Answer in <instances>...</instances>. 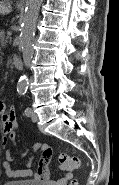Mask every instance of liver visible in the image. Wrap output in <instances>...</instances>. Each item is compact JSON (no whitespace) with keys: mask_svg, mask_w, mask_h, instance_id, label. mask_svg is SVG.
<instances>
[{"mask_svg":"<svg viewBox=\"0 0 119 185\" xmlns=\"http://www.w3.org/2000/svg\"><path fill=\"white\" fill-rule=\"evenodd\" d=\"M11 12V8L0 2V14H7Z\"/></svg>","mask_w":119,"mask_h":185,"instance_id":"6515ba94","label":"liver"}]
</instances>
